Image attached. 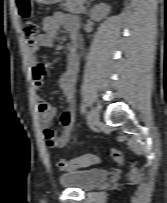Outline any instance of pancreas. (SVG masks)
Listing matches in <instances>:
<instances>
[{"label":"pancreas","instance_id":"obj_1","mask_svg":"<svg viewBox=\"0 0 167 203\" xmlns=\"http://www.w3.org/2000/svg\"><path fill=\"white\" fill-rule=\"evenodd\" d=\"M84 3L85 0H66L61 7L67 12L78 14L85 11Z\"/></svg>","mask_w":167,"mask_h":203}]
</instances>
